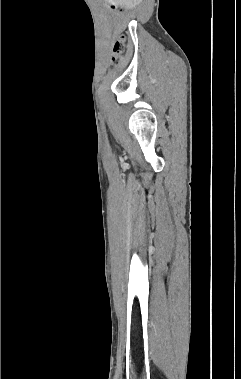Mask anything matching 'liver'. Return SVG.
<instances>
[{
  "instance_id": "obj_1",
  "label": "liver",
  "mask_w": 241,
  "mask_h": 379,
  "mask_svg": "<svg viewBox=\"0 0 241 379\" xmlns=\"http://www.w3.org/2000/svg\"><path fill=\"white\" fill-rule=\"evenodd\" d=\"M108 1L116 5L132 7L133 5H135L137 0H108Z\"/></svg>"
}]
</instances>
